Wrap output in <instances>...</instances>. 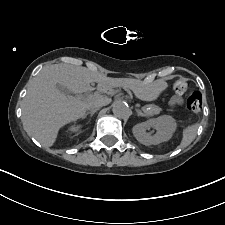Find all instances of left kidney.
Returning <instances> with one entry per match:
<instances>
[{"label":"left kidney","mask_w":225,"mask_h":225,"mask_svg":"<svg viewBox=\"0 0 225 225\" xmlns=\"http://www.w3.org/2000/svg\"><path fill=\"white\" fill-rule=\"evenodd\" d=\"M150 128L156 129L155 135H151L146 132V130ZM175 129V120L171 116L164 115L136 124L132 131L138 142L149 146L157 145L161 142L169 140L172 137V133L175 131Z\"/></svg>","instance_id":"1"}]
</instances>
